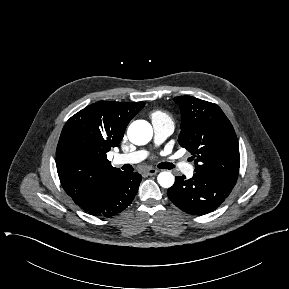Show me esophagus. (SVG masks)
I'll return each instance as SVG.
<instances>
[{
    "instance_id": "34e87169",
    "label": "esophagus",
    "mask_w": 289,
    "mask_h": 289,
    "mask_svg": "<svg viewBox=\"0 0 289 289\" xmlns=\"http://www.w3.org/2000/svg\"><path fill=\"white\" fill-rule=\"evenodd\" d=\"M158 172H159V170L154 169V168H150V169H147L145 173H146L147 175L152 176V175H156Z\"/></svg>"
}]
</instances>
